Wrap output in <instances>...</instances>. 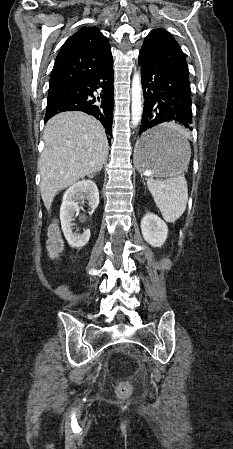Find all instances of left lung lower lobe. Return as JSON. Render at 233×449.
I'll list each match as a JSON object with an SVG mask.
<instances>
[{
  "label": "left lung lower lobe",
  "instance_id": "left-lung-lower-lobe-1",
  "mask_svg": "<svg viewBox=\"0 0 233 449\" xmlns=\"http://www.w3.org/2000/svg\"><path fill=\"white\" fill-rule=\"evenodd\" d=\"M144 110L139 134L144 152L171 148L181 144L175 134H152L150 129L160 123L174 121L189 129L192 124L189 77L161 62L144 49L140 50Z\"/></svg>",
  "mask_w": 233,
  "mask_h": 449
}]
</instances>
